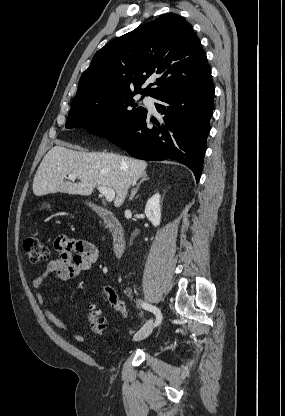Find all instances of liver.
<instances>
[{"label":"liver","mask_w":285,"mask_h":416,"mask_svg":"<svg viewBox=\"0 0 285 416\" xmlns=\"http://www.w3.org/2000/svg\"><path fill=\"white\" fill-rule=\"evenodd\" d=\"M68 148L80 150L78 146L61 142L44 156L34 176L32 190L35 196L56 192L91 196L95 188L106 186L115 190L114 206L120 208L126 200L130 186L136 184L147 168L143 160L105 152H75ZM68 174H76L80 182H67L64 178Z\"/></svg>","instance_id":"liver-1"}]
</instances>
